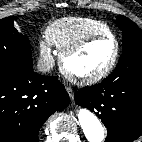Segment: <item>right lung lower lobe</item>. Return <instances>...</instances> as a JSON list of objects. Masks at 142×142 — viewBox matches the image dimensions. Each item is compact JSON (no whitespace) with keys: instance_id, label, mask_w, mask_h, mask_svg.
<instances>
[{"instance_id":"1","label":"right lung lower lobe","mask_w":142,"mask_h":142,"mask_svg":"<svg viewBox=\"0 0 142 142\" xmlns=\"http://www.w3.org/2000/svg\"><path fill=\"white\" fill-rule=\"evenodd\" d=\"M69 96L56 77L0 71V142H39L46 119L66 108Z\"/></svg>"}]
</instances>
